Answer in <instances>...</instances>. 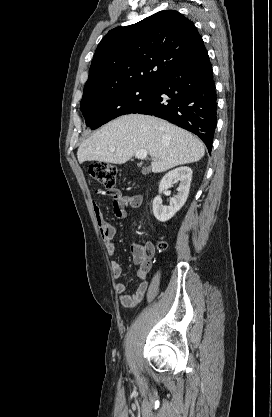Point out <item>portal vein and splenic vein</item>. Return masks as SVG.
<instances>
[{"mask_svg":"<svg viewBox=\"0 0 272 417\" xmlns=\"http://www.w3.org/2000/svg\"><path fill=\"white\" fill-rule=\"evenodd\" d=\"M110 151H111V152H113V151H114V149H113V148H111V149H110ZM147 155H148V152H147L146 150H139V151H137V152H136V154H135V156H136L138 159H141V160L146 159V158H147Z\"/></svg>","mask_w":272,"mask_h":417,"instance_id":"18ae733b","label":"portal vein and splenic vein"}]
</instances>
